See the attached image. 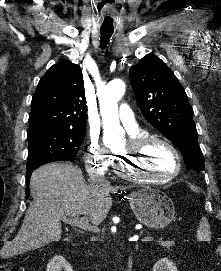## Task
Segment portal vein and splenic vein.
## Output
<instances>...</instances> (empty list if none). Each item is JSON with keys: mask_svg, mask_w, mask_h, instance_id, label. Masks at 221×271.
Instances as JSON below:
<instances>
[{"mask_svg": "<svg viewBox=\"0 0 221 271\" xmlns=\"http://www.w3.org/2000/svg\"><path fill=\"white\" fill-rule=\"evenodd\" d=\"M62 221L65 223H70V225H76V227H81V229H91L89 225L88 217H76V215H64ZM143 240H155V235H143Z\"/></svg>", "mask_w": 221, "mask_h": 271, "instance_id": "1", "label": "portal vein and splenic vein"}]
</instances>
